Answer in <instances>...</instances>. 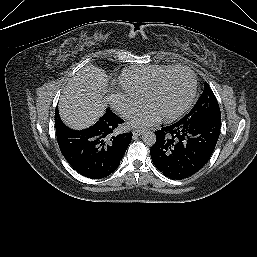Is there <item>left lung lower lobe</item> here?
Returning <instances> with one entry per match:
<instances>
[{
	"label": "left lung lower lobe",
	"mask_w": 257,
	"mask_h": 257,
	"mask_svg": "<svg viewBox=\"0 0 257 257\" xmlns=\"http://www.w3.org/2000/svg\"><path fill=\"white\" fill-rule=\"evenodd\" d=\"M221 128V117L180 119L155 132L150 149L155 167L164 176L182 180L198 172L210 159Z\"/></svg>",
	"instance_id": "left-lung-lower-lobe-1"
}]
</instances>
